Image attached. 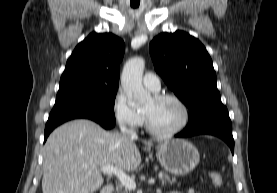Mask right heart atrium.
I'll return each mask as SVG.
<instances>
[{"label":"right heart atrium","instance_id":"obj_1","mask_svg":"<svg viewBox=\"0 0 277 193\" xmlns=\"http://www.w3.org/2000/svg\"><path fill=\"white\" fill-rule=\"evenodd\" d=\"M112 111L116 122L120 126L136 129L143 123L141 112L130 105L122 90H118L114 96Z\"/></svg>","mask_w":277,"mask_h":193}]
</instances>
